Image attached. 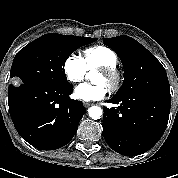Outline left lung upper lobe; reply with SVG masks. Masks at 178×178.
I'll return each instance as SVG.
<instances>
[{"mask_svg": "<svg viewBox=\"0 0 178 178\" xmlns=\"http://www.w3.org/2000/svg\"><path fill=\"white\" fill-rule=\"evenodd\" d=\"M103 41L115 49L124 67V82L114 97L146 92L171 98L164 67L144 46L125 35Z\"/></svg>", "mask_w": 178, "mask_h": 178, "instance_id": "5c2ea615", "label": "left lung upper lobe"}]
</instances>
